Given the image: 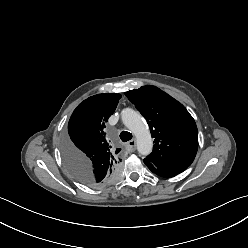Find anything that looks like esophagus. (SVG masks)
<instances>
[{"label": "esophagus", "mask_w": 248, "mask_h": 248, "mask_svg": "<svg viewBox=\"0 0 248 248\" xmlns=\"http://www.w3.org/2000/svg\"><path fill=\"white\" fill-rule=\"evenodd\" d=\"M126 148L129 152H134L136 149V140L132 139L126 144Z\"/></svg>", "instance_id": "obj_1"}]
</instances>
